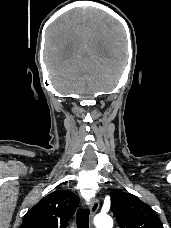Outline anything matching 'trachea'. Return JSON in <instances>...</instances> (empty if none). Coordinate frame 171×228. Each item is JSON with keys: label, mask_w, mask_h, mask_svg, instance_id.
<instances>
[{"label": "trachea", "mask_w": 171, "mask_h": 228, "mask_svg": "<svg viewBox=\"0 0 171 228\" xmlns=\"http://www.w3.org/2000/svg\"><path fill=\"white\" fill-rule=\"evenodd\" d=\"M76 217L77 228H89V210H78Z\"/></svg>", "instance_id": "3493384b"}]
</instances>
